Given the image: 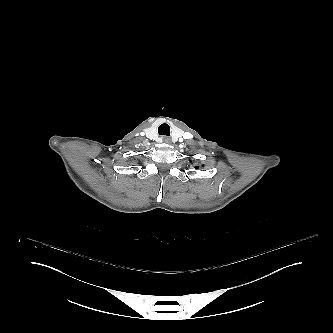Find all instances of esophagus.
I'll use <instances>...</instances> for the list:
<instances>
[{"label": "esophagus", "instance_id": "esophagus-1", "mask_svg": "<svg viewBox=\"0 0 333 333\" xmlns=\"http://www.w3.org/2000/svg\"><path fill=\"white\" fill-rule=\"evenodd\" d=\"M164 143H171V139L169 137H163Z\"/></svg>", "mask_w": 333, "mask_h": 333}]
</instances>
